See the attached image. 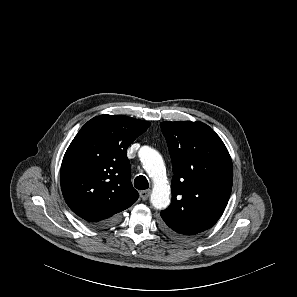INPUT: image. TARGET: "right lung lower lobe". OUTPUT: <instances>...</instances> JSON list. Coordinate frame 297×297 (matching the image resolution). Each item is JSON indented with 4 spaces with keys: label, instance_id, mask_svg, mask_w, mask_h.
<instances>
[{
    "label": "right lung lower lobe",
    "instance_id": "obj_1",
    "mask_svg": "<svg viewBox=\"0 0 297 297\" xmlns=\"http://www.w3.org/2000/svg\"><path fill=\"white\" fill-rule=\"evenodd\" d=\"M118 219H119V215H116V216H114V217H112L110 219L95 223L93 225L95 227H97V228H105V227H109L111 225H114L118 221Z\"/></svg>",
    "mask_w": 297,
    "mask_h": 297
}]
</instances>
